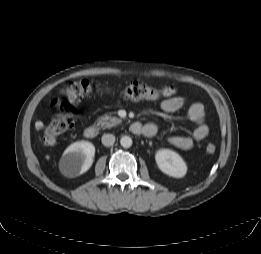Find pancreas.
Wrapping results in <instances>:
<instances>
[{"mask_svg":"<svg viewBox=\"0 0 261 254\" xmlns=\"http://www.w3.org/2000/svg\"><path fill=\"white\" fill-rule=\"evenodd\" d=\"M122 122L121 119L117 117H111L109 115L102 116L97 121V126H100L101 128H111L117 124H120Z\"/></svg>","mask_w":261,"mask_h":254,"instance_id":"cf45deb5","label":"pancreas"}]
</instances>
